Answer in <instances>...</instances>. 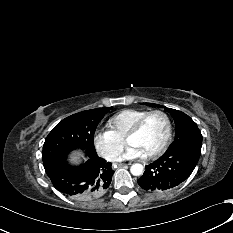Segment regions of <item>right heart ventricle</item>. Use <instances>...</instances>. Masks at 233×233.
Returning a JSON list of instances; mask_svg holds the SVG:
<instances>
[{"mask_svg":"<svg viewBox=\"0 0 233 233\" xmlns=\"http://www.w3.org/2000/svg\"><path fill=\"white\" fill-rule=\"evenodd\" d=\"M146 112L143 109H125L108 120V127L117 137L124 139L128 130Z\"/></svg>","mask_w":233,"mask_h":233,"instance_id":"obj_1","label":"right heart ventricle"}]
</instances>
